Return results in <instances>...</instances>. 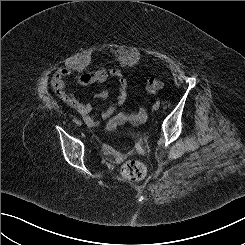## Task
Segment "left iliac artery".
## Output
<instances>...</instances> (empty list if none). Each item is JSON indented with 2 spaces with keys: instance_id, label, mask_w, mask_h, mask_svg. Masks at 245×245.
Segmentation results:
<instances>
[{
  "instance_id": "left-iliac-artery-1",
  "label": "left iliac artery",
  "mask_w": 245,
  "mask_h": 245,
  "mask_svg": "<svg viewBox=\"0 0 245 245\" xmlns=\"http://www.w3.org/2000/svg\"><path fill=\"white\" fill-rule=\"evenodd\" d=\"M156 104L160 105V101H156Z\"/></svg>"
}]
</instances>
